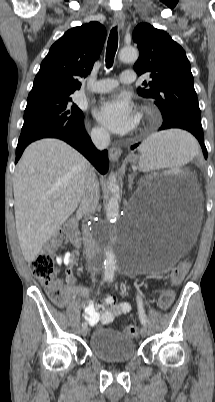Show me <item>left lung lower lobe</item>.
<instances>
[{
	"instance_id": "obj_1",
	"label": "left lung lower lobe",
	"mask_w": 215,
	"mask_h": 402,
	"mask_svg": "<svg viewBox=\"0 0 215 402\" xmlns=\"http://www.w3.org/2000/svg\"><path fill=\"white\" fill-rule=\"evenodd\" d=\"M170 128H180L191 132L199 141L204 157L207 159V149L204 144V136H203V129L201 124L184 119V118H171L168 120L163 121L159 130H166ZM139 144H135L131 146V149H134Z\"/></svg>"
}]
</instances>
